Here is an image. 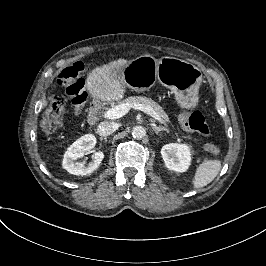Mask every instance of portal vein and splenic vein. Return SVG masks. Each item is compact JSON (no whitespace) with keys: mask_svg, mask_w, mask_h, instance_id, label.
Here are the masks:
<instances>
[{"mask_svg":"<svg viewBox=\"0 0 266 266\" xmlns=\"http://www.w3.org/2000/svg\"><path fill=\"white\" fill-rule=\"evenodd\" d=\"M131 108L140 110L150 115L151 117L155 118L159 122L161 123L163 122V120L156 114V112L150 106H145L140 103H130L128 101H126L125 103H121L113 108H110L104 113V116L112 120L119 119L123 117L124 115H126L130 111Z\"/></svg>","mask_w":266,"mask_h":266,"instance_id":"portal-vein-and-splenic-vein-1","label":"portal vein and splenic vein"}]
</instances>
